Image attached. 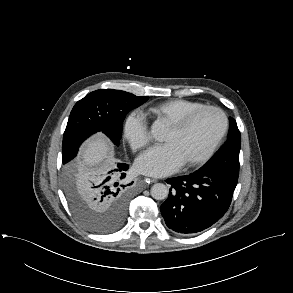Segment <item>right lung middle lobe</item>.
Wrapping results in <instances>:
<instances>
[{"label": "right lung middle lobe", "instance_id": "right-lung-middle-lobe-1", "mask_svg": "<svg viewBox=\"0 0 293 293\" xmlns=\"http://www.w3.org/2000/svg\"><path fill=\"white\" fill-rule=\"evenodd\" d=\"M148 98L120 90L100 89L78 101L70 113L62 144V162L66 165L64 188L75 216L90 230L101 233L112 231L121 225L122 218L100 213L86 205L82 187L98 174L72 169L68 162L76 156L81 143L99 131L118 146L126 114L145 103Z\"/></svg>", "mask_w": 293, "mask_h": 293}]
</instances>
